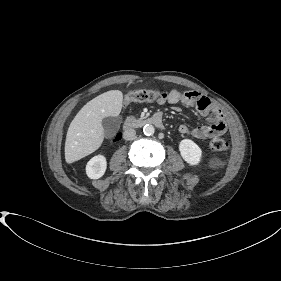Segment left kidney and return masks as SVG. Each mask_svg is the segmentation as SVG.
Returning <instances> with one entry per match:
<instances>
[{
    "mask_svg": "<svg viewBox=\"0 0 281 281\" xmlns=\"http://www.w3.org/2000/svg\"><path fill=\"white\" fill-rule=\"evenodd\" d=\"M182 158L191 166L198 165L202 159L201 148L190 139H183L179 144Z\"/></svg>",
    "mask_w": 281,
    "mask_h": 281,
    "instance_id": "left-kidney-1",
    "label": "left kidney"
}]
</instances>
